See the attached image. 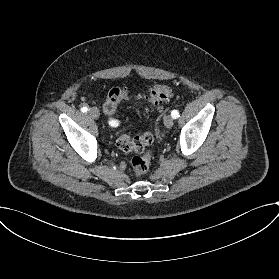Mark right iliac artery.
<instances>
[{"label":"right iliac artery","mask_w":279,"mask_h":279,"mask_svg":"<svg viewBox=\"0 0 279 279\" xmlns=\"http://www.w3.org/2000/svg\"><path fill=\"white\" fill-rule=\"evenodd\" d=\"M81 111H82L83 113H84V112H87V111H88V108L85 106V107L81 108ZM114 124H117V125H118L119 123H118L117 121H115V122L112 123L111 125H114ZM120 125H121L120 127L122 128V127H123V126H122L123 124L121 123Z\"/></svg>","instance_id":"obj_1"}]
</instances>
